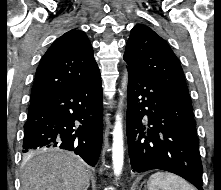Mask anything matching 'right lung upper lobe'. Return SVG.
I'll return each mask as SVG.
<instances>
[{"instance_id": "right-lung-upper-lobe-1", "label": "right lung upper lobe", "mask_w": 221, "mask_h": 190, "mask_svg": "<svg viewBox=\"0 0 221 190\" xmlns=\"http://www.w3.org/2000/svg\"><path fill=\"white\" fill-rule=\"evenodd\" d=\"M99 74L89 39L83 31L72 29L58 38L42 57L30 103Z\"/></svg>"}]
</instances>
